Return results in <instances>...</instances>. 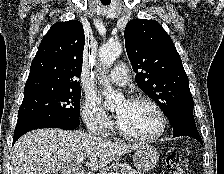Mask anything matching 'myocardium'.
Here are the masks:
<instances>
[{"label": "myocardium", "mask_w": 224, "mask_h": 174, "mask_svg": "<svg viewBox=\"0 0 224 174\" xmlns=\"http://www.w3.org/2000/svg\"><path fill=\"white\" fill-rule=\"evenodd\" d=\"M128 103L130 104H139V103H146L150 105L157 113L159 120H160V125L157 131L150 135H145V136H139V135H133L121 128L119 125L118 121H116V130L117 133L120 137L129 140V141H137V142H148V141H153L158 139L163 135L167 128V116L161 106L152 98L147 97V96H135L127 100Z\"/></svg>", "instance_id": "f54148a6"}]
</instances>
